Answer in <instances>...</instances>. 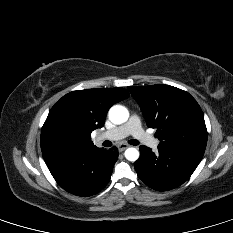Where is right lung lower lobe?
I'll list each match as a JSON object with an SVG mask.
<instances>
[{
  "instance_id": "1",
  "label": "right lung lower lobe",
  "mask_w": 233,
  "mask_h": 233,
  "mask_svg": "<svg viewBox=\"0 0 233 233\" xmlns=\"http://www.w3.org/2000/svg\"><path fill=\"white\" fill-rule=\"evenodd\" d=\"M44 161L56 182L77 196H92L109 182L118 149L94 147L85 151L52 150L43 153Z\"/></svg>"
}]
</instances>
